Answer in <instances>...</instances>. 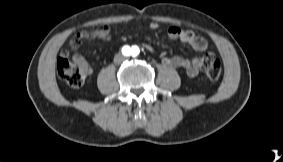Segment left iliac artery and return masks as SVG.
<instances>
[{
    "label": "left iliac artery",
    "instance_id": "44dca946",
    "mask_svg": "<svg viewBox=\"0 0 283 162\" xmlns=\"http://www.w3.org/2000/svg\"><path fill=\"white\" fill-rule=\"evenodd\" d=\"M131 53L133 56H137L139 54V48L137 46H133Z\"/></svg>",
    "mask_w": 283,
    "mask_h": 162
}]
</instances>
